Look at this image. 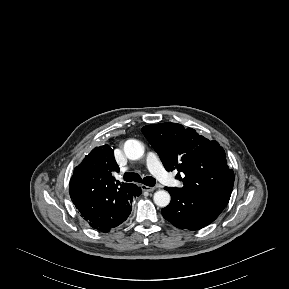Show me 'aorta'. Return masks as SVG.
Masks as SVG:
<instances>
[{"label": "aorta", "mask_w": 289, "mask_h": 289, "mask_svg": "<svg viewBox=\"0 0 289 289\" xmlns=\"http://www.w3.org/2000/svg\"><path fill=\"white\" fill-rule=\"evenodd\" d=\"M144 152L143 144L135 139H129L124 143V153L130 160L139 159ZM170 194L165 190L154 193V203L159 207H166L170 203Z\"/></svg>", "instance_id": "aorta-1"}]
</instances>
